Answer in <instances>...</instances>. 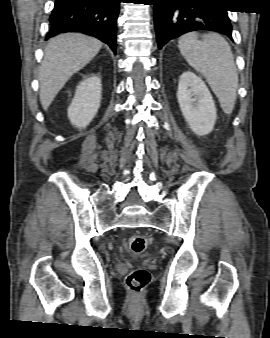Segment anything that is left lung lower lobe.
<instances>
[{"instance_id": "left-lung-lower-lobe-1", "label": "left lung lower lobe", "mask_w": 270, "mask_h": 338, "mask_svg": "<svg viewBox=\"0 0 270 338\" xmlns=\"http://www.w3.org/2000/svg\"><path fill=\"white\" fill-rule=\"evenodd\" d=\"M158 47L196 30H211L232 39V27L218 0H153Z\"/></svg>"}]
</instances>
